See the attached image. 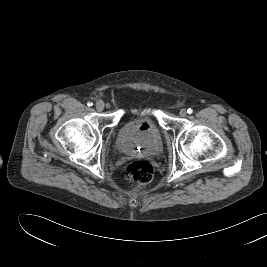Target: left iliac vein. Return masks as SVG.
<instances>
[{"label": "left iliac vein", "mask_w": 267, "mask_h": 267, "mask_svg": "<svg viewBox=\"0 0 267 267\" xmlns=\"http://www.w3.org/2000/svg\"><path fill=\"white\" fill-rule=\"evenodd\" d=\"M179 114H180L181 117H185L187 115L186 109H181Z\"/></svg>", "instance_id": "1"}]
</instances>
